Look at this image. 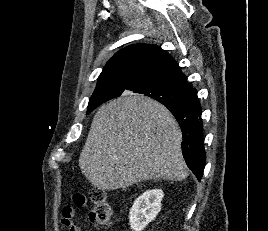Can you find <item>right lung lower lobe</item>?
<instances>
[{
  "mask_svg": "<svg viewBox=\"0 0 268 231\" xmlns=\"http://www.w3.org/2000/svg\"><path fill=\"white\" fill-rule=\"evenodd\" d=\"M177 119L183 134L182 153L189 169L200 181L206 153L202 138L201 106L198 97L189 104H164Z\"/></svg>",
  "mask_w": 268,
  "mask_h": 231,
  "instance_id": "right-lung-lower-lobe-1",
  "label": "right lung lower lobe"
}]
</instances>
